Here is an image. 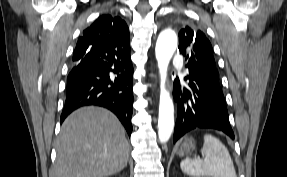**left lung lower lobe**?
Returning <instances> with one entry per match:
<instances>
[{
  "mask_svg": "<svg viewBox=\"0 0 287 177\" xmlns=\"http://www.w3.org/2000/svg\"><path fill=\"white\" fill-rule=\"evenodd\" d=\"M174 98L178 109L174 143L194 128L218 129L234 139L220 86L205 87L189 75L184 78V82L176 78Z\"/></svg>",
  "mask_w": 287,
  "mask_h": 177,
  "instance_id": "left-lung-lower-lobe-1",
  "label": "left lung lower lobe"
}]
</instances>
